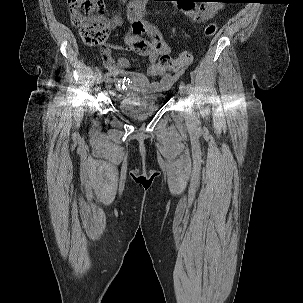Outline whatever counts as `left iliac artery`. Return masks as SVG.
Instances as JSON below:
<instances>
[{
    "mask_svg": "<svg viewBox=\"0 0 303 303\" xmlns=\"http://www.w3.org/2000/svg\"><path fill=\"white\" fill-rule=\"evenodd\" d=\"M183 87H184L186 93H188L190 96H193V87H192L191 83H189V82L183 83Z\"/></svg>",
    "mask_w": 303,
    "mask_h": 303,
    "instance_id": "1",
    "label": "left iliac artery"
}]
</instances>
